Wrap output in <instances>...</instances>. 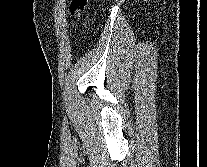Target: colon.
Returning a JSON list of instances; mask_svg holds the SVG:
<instances>
[{
	"label": "colon",
	"instance_id": "obj_1",
	"mask_svg": "<svg viewBox=\"0 0 207 167\" xmlns=\"http://www.w3.org/2000/svg\"><path fill=\"white\" fill-rule=\"evenodd\" d=\"M88 4V0H70L69 12L76 18V24L79 25L82 19L83 12Z\"/></svg>",
	"mask_w": 207,
	"mask_h": 167
}]
</instances>
